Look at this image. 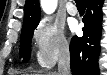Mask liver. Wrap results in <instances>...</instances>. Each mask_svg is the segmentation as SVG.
<instances>
[{"instance_id": "obj_1", "label": "liver", "mask_w": 107, "mask_h": 75, "mask_svg": "<svg viewBox=\"0 0 107 75\" xmlns=\"http://www.w3.org/2000/svg\"><path fill=\"white\" fill-rule=\"evenodd\" d=\"M25 75H29V74H25ZM30 75H42V74H30ZM43 75H58L56 72H49V73H46V74H43Z\"/></svg>"}]
</instances>
